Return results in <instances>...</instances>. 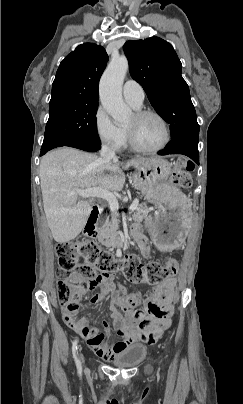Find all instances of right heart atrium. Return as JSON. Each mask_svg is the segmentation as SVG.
<instances>
[{"label":"right heart atrium","instance_id":"right-heart-atrium-1","mask_svg":"<svg viewBox=\"0 0 243 404\" xmlns=\"http://www.w3.org/2000/svg\"><path fill=\"white\" fill-rule=\"evenodd\" d=\"M96 137L102 146L120 152L125 145L126 133L118 127L105 108L99 104L93 115Z\"/></svg>","mask_w":243,"mask_h":404}]
</instances>
